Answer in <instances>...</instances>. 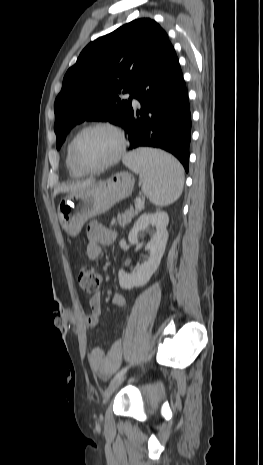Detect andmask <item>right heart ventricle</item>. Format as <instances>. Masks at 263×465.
<instances>
[{
  "mask_svg": "<svg viewBox=\"0 0 263 465\" xmlns=\"http://www.w3.org/2000/svg\"><path fill=\"white\" fill-rule=\"evenodd\" d=\"M70 143H68L67 148H66V155H65V164L67 167V170L69 172V175L72 178H81L85 174L80 172L79 170L76 169V167L73 165L71 157H70Z\"/></svg>",
  "mask_w": 263,
  "mask_h": 465,
  "instance_id": "e07e8e85",
  "label": "right heart ventricle"
}]
</instances>
